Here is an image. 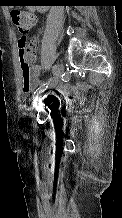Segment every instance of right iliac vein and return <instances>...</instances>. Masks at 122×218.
<instances>
[{"instance_id":"1","label":"right iliac vein","mask_w":122,"mask_h":218,"mask_svg":"<svg viewBox=\"0 0 122 218\" xmlns=\"http://www.w3.org/2000/svg\"><path fill=\"white\" fill-rule=\"evenodd\" d=\"M54 76L48 81L47 85L43 87L42 91L38 93L33 101V107L37 104L38 99L41 97V94L44 93L47 89H53L57 86L60 81V77L63 71L62 65L56 64L55 66Z\"/></svg>"}]
</instances>
